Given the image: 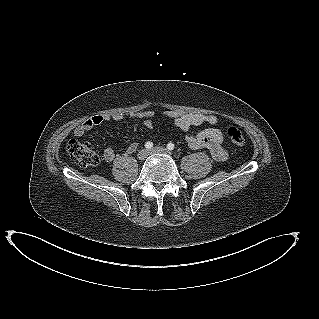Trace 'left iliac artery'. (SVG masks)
<instances>
[{"mask_svg": "<svg viewBox=\"0 0 319 319\" xmlns=\"http://www.w3.org/2000/svg\"><path fill=\"white\" fill-rule=\"evenodd\" d=\"M174 147H175V146H174L173 143H168V144H167V149H168V150H173Z\"/></svg>", "mask_w": 319, "mask_h": 319, "instance_id": "1", "label": "left iliac artery"}]
</instances>
